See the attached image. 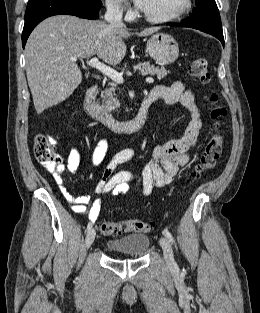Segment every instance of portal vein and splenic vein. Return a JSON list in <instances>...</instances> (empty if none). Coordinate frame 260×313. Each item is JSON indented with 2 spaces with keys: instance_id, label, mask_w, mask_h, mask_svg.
Wrapping results in <instances>:
<instances>
[{
  "instance_id": "portal-vein-and-splenic-vein-1",
  "label": "portal vein and splenic vein",
  "mask_w": 260,
  "mask_h": 313,
  "mask_svg": "<svg viewBox=\"0 0 260 313\" xmlns=\"http://www.w3.org/2000/svg\"><path fill=\"white\" fill-rule=\"evenodd\" d=\"M72 61L76 62L77 58L73 57ZM86 63H87V65L98 69L100 72H102L104 75L108 76L114 82L123 83L124 79L122 77V74L117 72L116 70L110 68L109 66L101 63L97 57H93L92 59H90ZM146 82L147 83H153L154 80L152 78H146Z\"/></svg>"
}]
</instances>
